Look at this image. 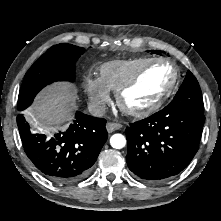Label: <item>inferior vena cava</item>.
<instances>
[{"instance_id":"1","label":"inferior vena cava","mask_w":221,"mask_h":221,"mask_svg":"<svg viewBox=\"0 0 221 221\" xmlns=\"http://www.w3.org/2000/svg\"><path fill=\"white\" fill-rule=\"evenodd\" d=\"M106 104L101 100H94L88 103V110L92 116L102 117L106 113Z\"/></svg>"}]
</instances>
